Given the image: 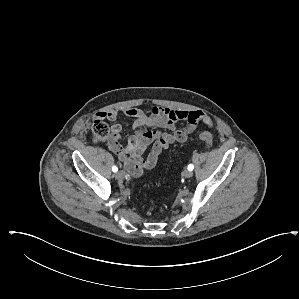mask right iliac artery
<instances>
[{"instance_id": "obj_1", "label": "right iliac artery", "mask_w": 299, "mask_h": 299, "mask_svg": "<svg viewBox=\"0 0 299 299\" xmlns=\"http://www.w3.org/2000/svg\"><path fill=\"white\" fill-rule=\"evenodd\" d=\"M112 171H113V172H117V171H118V168L114 165V166L112 167Z\"/></svg>"}]
</instances>
